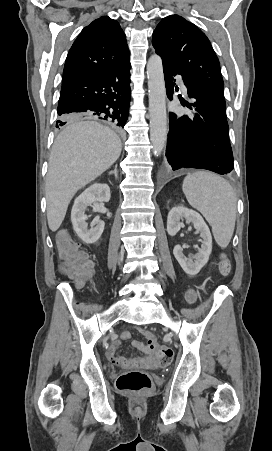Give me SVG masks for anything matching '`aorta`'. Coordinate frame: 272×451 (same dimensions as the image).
I'll return each mask as SVG.
<instances>
[{
	"label": "aorta",
	"mask_w": 272,
	"mask_h": 451,
	"mask_svg": "<svg viewBox=\"0 0 272 451\" xmlns=\"http://www.w3.org/2000/svg\"><path fill=\"white\" fill-rule=\"evenodd\" d=\"M150 140L154 156H160L167 138L166 88L162 60L157 54L147 64Z\"/></svg>",
	"instance_id": "762f6f07"
}]
</instances>
